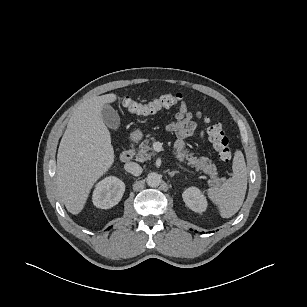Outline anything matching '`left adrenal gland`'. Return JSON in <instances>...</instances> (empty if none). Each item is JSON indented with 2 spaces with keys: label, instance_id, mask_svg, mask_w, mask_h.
<instances>
[{
  "label": "left adrenal gland",
  "instance_id": "1",
  "mask_svg": "<svg viewBox=\"0 0 307 307\" xmlns=\"http://www.w3.org/2000/svg\"><path fill=\"white\" fill-rule=\"evenodd\" d=\"M168 174H169L170 177H173L175 174H179V172L178 171H171V172L169 171Z\"/></svg>",
  "mask_w": 307,
  "mask_h": 307
}]
</instances>
